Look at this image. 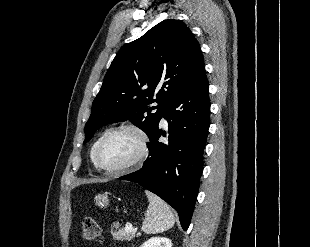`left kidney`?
<instances>
[{
	"mask_svg": "<svg viewBox=\"0 0 310 247\" xmlns=\"http://www.w3.org/2000/svg\"><path fill=\"white\" fill-rule=\"evenodd\" d=\"M141 247H172V242L168 238L153 237L146 241Z\"/></svg>",
	"mask_w": 310,
	"mask_h": 247,
	"instance_id": "5707ae66",
	"label": "left kidney"
}]
</instances>
